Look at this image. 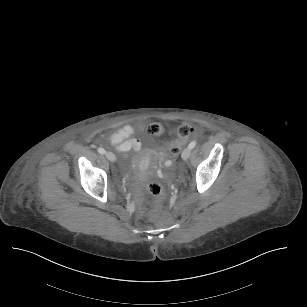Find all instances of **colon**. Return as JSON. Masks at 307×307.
<instances>
[{"label": "colon", "mask_w": 307, "mask_h": 307, "mask_svg": "<svg viewBox=\"0 0 307 307\" xmlns=\"http://www.w3.org/2000/svg\"><path fill=\"white\" fill-rule=\"evenodd\" d=\"M192 131L193 128L190 125L188 124L181 125L177 131V135L179 137L178 142L174 146L171 144L166 145L167 151L179 155L181 153L180 148L190 138ZM161 132H162V127L157 123H154L148 127L149 134L158 135ZM147 189L151 194L155 196L160 195L163 191L162 186L158 181H151L150 183H148Z\"/></svg>", "instance_id": "colon-1"}]
</instances>
